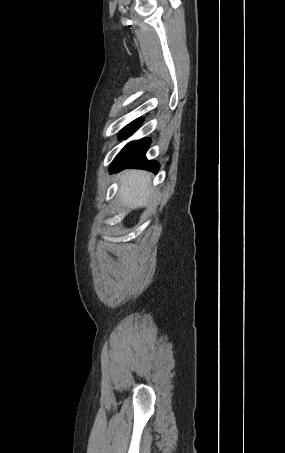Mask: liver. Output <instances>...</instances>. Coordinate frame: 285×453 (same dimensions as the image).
<instances>
[{
  "instance_id": "obj_1",
  "label": "liver",
  "mask_w": 285,
  "mask_h": 453,
  "mask_svg": "<svg viewBox=\"0 0 285 453\" xmlns=\"http://www.w3.org/2000/svg\"><path fill=\"white\" fill-rule=\"evenodd\" d=\"M120 201L131 208L146 206L152 196L150 174L141 170H126L119 175Z\"/></svg>"
}]
</instances>
